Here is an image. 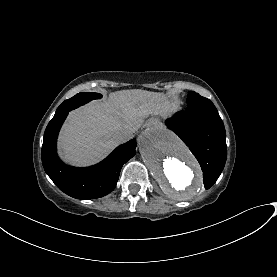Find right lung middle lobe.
<instances>
[{
	"instance_id": "dd1d6c3e",
	"label": "right lung middle lobe",
	"mask_w": 277,
	"mask_h": 277,
	"mask_svg": "<svg viewBox=\"0 0 277 277\" xmlns=\"http://www.w3.org/2000/svg\"><path fill=\"white\" fill-rule=\"evenodd\" d=\"M102 95L99 93H90V92H83L75 95L74 97L65 100L57 109L55 115H58L62 112H69L93 99H99Z\"/></svg>"
}]
</instances>
